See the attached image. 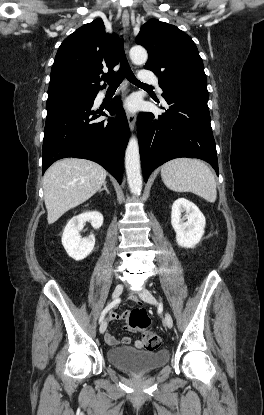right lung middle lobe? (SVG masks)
<instances>
[{
  "mask_svg": "<svg viewBox=\"0 0 264 415\" xmlns=\"http://www.w3.org/2000/svg\"><path fill=\"white\" fill-rule=\"evenodd\" d=\"M92 97L93 95L91 96H64V97H59V98H54V99H48L46 105L49 106V105H54V104L64 103V102H71V101H84Z\"/></svg>",
  "mask_w": 264,
  "mask_h": 415,
  "instance_id": "dd1d6c3e",
  "label": "right lung middle lobe"
}]
</instances>
